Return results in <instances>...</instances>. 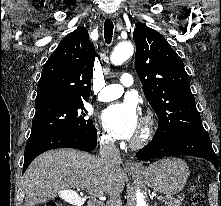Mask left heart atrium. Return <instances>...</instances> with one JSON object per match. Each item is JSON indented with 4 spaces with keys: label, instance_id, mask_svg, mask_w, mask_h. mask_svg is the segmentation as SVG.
<instances>
[{
    "label": "left heart atrium",
    "instance_id": "left-heart-atrium-1",
    "mask_svg": "<svg viewBox=\"0 0 221 206\" xmlns=\"http://www.w3.org/2000/svg\"><path fill=\"white\" fill-rule=\"evenodd\" d=\"M105 128L114 137L132 139L140 130V119L135 104L131 102L115 103L102 113Z\"/></svg>",
    "mask_w": 221,
    "mask_h": 206
}]
</instances>
